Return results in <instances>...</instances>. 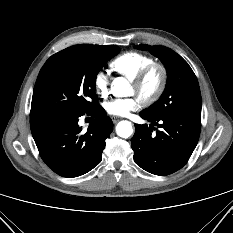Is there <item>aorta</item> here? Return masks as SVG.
Returning a JSON list of instances; mask_svg holds the SVG:
<instances>
[{
    "label": "aorta",
    "mask_w": 233,
    "mask_h": 233,
    "mask_svg": "<svg viewBox=\"0 0 233 233\" xmlns=\"http://www.w3.org/2000/svg\"><path fill=\"white\" fill-rule=\"evenodd\" d=\"M130 87L129 82L123 77H117L113 81V92L118 96H123L125 91ZM116 133L122 138H128L133 133L131 122L120 121L116 126Z\"/></svg>",
    "instance_id": "aorta-1"
}]
</instances>
